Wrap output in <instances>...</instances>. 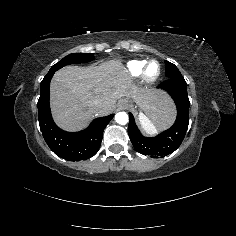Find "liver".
I'll return each mask as SVG.
<instances>
[{"label":"liver","instance_id":"1","mask_svg":"<svg viewBox=\"0 0 236 236\" xmlns=\"http://www.w3.org/2000/svg\"><path fill=\"white\" fill-rule=\"evenodd\" d=\"M50 95L53 118L59 127L67 131L86 127L94 114H110L116 100L124 96L132 98L146 115L161 126L173 121L175 111L172 103H165L155 93L132 84L131 79L122 73L119 60H110L99 66L63 67L52 78ZM95 100L102 103L97 110L90 107Z\"/></svg>","mask_w":236,"mask_h":236}]
</instances>
